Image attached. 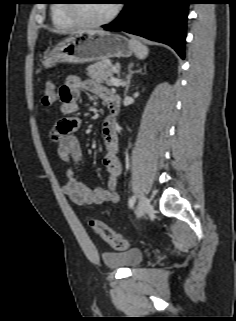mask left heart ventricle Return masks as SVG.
Segmentation results:
<instances>
[{
	"label": "left heart ventricle",
	"instance_id": "obj_1",
	"mask_svg": "<svg viewBox=\"0 0 236 321\" xmlns=\"http://www.w3.org/2000/svg\"><path fill=\"white\" fill-rule=\"evenodd\" d=\"M113 6L110 0H87L82 6V14L90 20H101L111 13Z\"/></svg>",
	"mask_w": 236,
	"mask_h": 321
}]
</instances>
